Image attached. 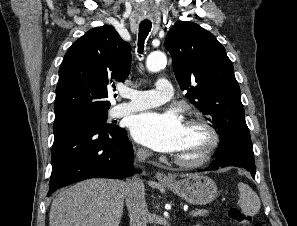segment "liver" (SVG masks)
I'll use <instances>...</instances> for the list:
<instances>
[{"label":"liver","mask_w":297,"mask_h":226,"mask_svg":"<svg viewBox=\"0 0 297 226\" xmlns=\"http://www.w3.org/2000/svg\"><path fill=\"white\" fill-rule=\"evenodd\" d=\"M126 182L89 179L62 191L52 202L49 226H119Z\"/></svg>","instance_id":"6515ba94"}]
</instances>
